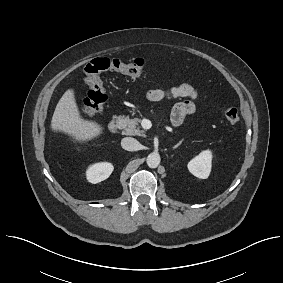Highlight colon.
Returning a JSON list of instances; mask_svg holds the SVG:
<instances>
[{"label": "colon", "instance_id": "1", "mask_svg": "<svg viewBox=\"0 0 283 283\" xmlns=\"http://www.w3.org/2000/svg\"><path fill=\"white\" fill-rule=\"evenodd\" d=\"M144 65L145 62L141 58L123 60L101 57L89 62L84 68V78L89 86V91L84 100L83 114L89 117L95 116L102 110L107 100L106 89L101 77L103 73L115 71L124 75L138 77L142 75ZM223 115L231 124L239 122V113L235 107H226L223 110Z\"/></svg>", "mask_w": 283, "mask_h": 283}]
</instances>
